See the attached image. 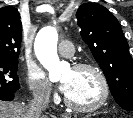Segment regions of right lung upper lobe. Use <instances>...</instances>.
<instances>
[{
    "mask_svg": "<svg viewBox=\"0 0 133 118\" xmlns=\"http://www.w3.org/2000/svg\"><path fill=\"white\" fill-rule=\"evenodd\" d=\"M22 38L20 14L15 7L0 8V59L17 60Z\"/></svg>",
    "mask_w": 133,
    "mask_h": 118,
    "instance_id": "1",
    "label": "right lung upper lobe"
}]
</instances>
